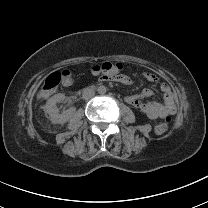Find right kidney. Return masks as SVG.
<instances>
[{
	"label": "right kidney",
	"mask_w": 208,
	"mask_h": 208,
	"mask_svg": "<svg viewBox=\"0 0 208 208\" xmlns=\"http://www.w3.org/2000/svg\"><path fill=\"white\" fill-rule=\"evenodd\" d=\"M65 94L59 93L51 97L45 104L44 109L49 114V119L53 124H62L69 120L68 113L60 114L59 109L56 107V103L64 100Z\"/></svg>",
	"instance_id": "obj_1"
}]
</instances>
